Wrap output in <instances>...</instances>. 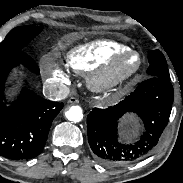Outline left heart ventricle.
Returning <instances> with one entry per match:
<instances>
[{
	"label": "left heart ventricle",
	"mask_w": 183,
	"mask_h": 183,
	"mask_svg": "<svg viewBox=\"0 0 183 183\" xmlns=\"http://www.w3.org/2000/svg\"><path fill=\"white\" fill-rule=\"evenodd\" d=\"M138 63V58L135 55H128L124 57L118 66V71L121 74H125L133 70Z\"/></svg>",
	"instance_id": "b2bd125f"
}]
</instances>
